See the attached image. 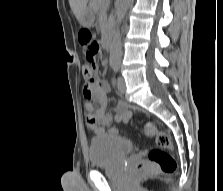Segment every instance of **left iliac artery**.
<instances>
[{
	"instance_id": "1",
	"label": "left iliac artery",
	"mask_w": 223,
	"mask_h": 191,
	"mask_svg": "<svg viewBox=\"0 0 223 191\" xmlns=\"http://www.w3.org/2000/svg\"><path fill=\"white\" fill-rule=\"evenodd\" d=\"M118 68H119V66H118V65H116V66L114 67V69H115V70H118Z\"/></svg>"
}]
</instances>
